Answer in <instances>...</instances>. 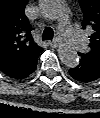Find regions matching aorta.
I'll use <instances>...</instances> for the list:
<instances>
[{
	"instance_id": "1",
	"label": "aorta",
	"mask_w": 100,
	"mask_h": 118,
	"mask_svg": "<svg viewBox=\"0 0 100 118\" xmlns=\"http://www.w3.org/2000/svg\"><path fill=\"white\" fill-rule=\"evenodd\" d=\"M39 10L46 18L56 19L62 14L64 7L61 0H40ZM58 56L61 62L70 68L76 67L79 62L77 52L67 44L58 48Z\"/></svg>"
}]
</instances>
